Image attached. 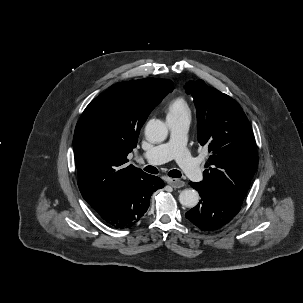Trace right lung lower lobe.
I'll list each match as a JSON object with an SVG mask.
<instances>
[{
    "instance_id": "obj_1",
    "label": "right lung lower lobe",
    "mask_w": 303,
    "mask_h": 303,
    "mask_svg": "<svg viewBox=\"0 0 303 303\" xmlns=\"http://www.w3.org/2000/svg\"><path fill=\"white\" fill-rule=\"evenodd\" d=\"M163 187L162 179L143 173L108 192L93 209L110 226L117 229L130 228L147 211L152 193Z\"/></svg>"
}]
</instances>
